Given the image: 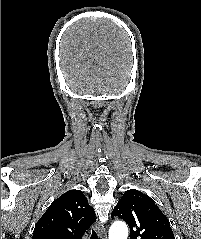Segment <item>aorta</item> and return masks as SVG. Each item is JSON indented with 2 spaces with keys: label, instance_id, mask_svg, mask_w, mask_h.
Wrapping results in <instances>:
<instances>
[{
  "label": "aorta",
  "instance_id": "1",
  "mask_svg": "<svg viewBox=\"0 0 201 239\" xmlns=\"http://www.w3.org/2000/svg\"><path fill=\"white\" fill-rule=\"evenodd\" d=\"M128 227L123 221H115L109 229V239H127Z\"/></svg>",
  "mask_w": 201,
  "mask_h": 239
}]
</instances>
